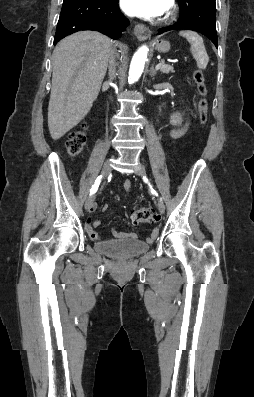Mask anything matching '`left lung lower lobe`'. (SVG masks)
I'll return each instance as SVG.
<instances>
[{
  "instance_id": "0a47b994",
  "label": "left lung lower lobe",
  "mask_w": 254,
  "mask_h": 397,
  "mask_svg": "<svg viewBox=\"0 0 254 397\" xmlns=\"http://www.w3.org/2000/svg\"><path fill=\"white\" fill-rule=\"evenodd\" d=\"M180 6L179 20L172 26L161 28L158 34L176 29H189L207 36L218 48L215 24V0H177Z\"/></svg>"
}]
</instances>
